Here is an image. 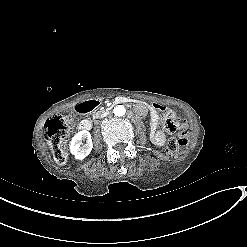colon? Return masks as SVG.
I'll return each instance as SVG.
<instances>
[{
    "mask_svg": "<svg viewBox=\"0 0 247 247\" xmlns=\"http://www.w3.org/2000/svg\"><path fill=\"white\" fill-rule=\"evenodd\" d=\"M148 106H151V103H148ZM155 107L162 114L167 113L169 110L168 105L165 103L155 104ZM74 126V119L71 116L63 115H54L45 124V136L58 164H64L67 161L66 141ZM187 144L188 137L185 134L171 137L166 142V150L169 156L173 157L180 148L185 147Z\"/></svg>",
    "mask_w": 247,
    "mask_h": 247,
    "instance_id": "obj_1",
    "label": "colon"
}]
</instances>
